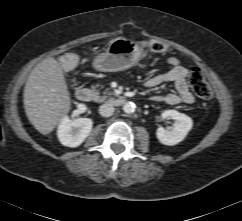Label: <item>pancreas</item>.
<instances>
[{
	"label": "pancreas",
	"mask_w": 242,
	"mask_h": 221,
	"mask_svg": "<svg viewBox=\"0 0 242 221\" xmlns=\"http://www.w3.org/2000/svg\"><path fill=\"white\" fill-rule=\"evenodd\" d=\"M96 94H97L96 101H98V102H101V101H104L105 99H107V96L105 95L106 93H104L103 96H99V92L96 91ZM108 95H113V93L109 92Z\"/></svg>",
	"instance_id": "pancreas-1"
}]
</instances>
